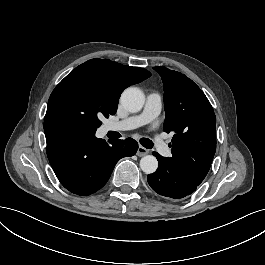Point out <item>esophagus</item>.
<instances>
[{
    "label": "esophagus",
    "instance_id": "obj_1",
    "mask_svg": "<svg viewBox=\"0 0 265 265\" xmlns=\"http://www.w3.org/2000/svg\"><path fill=\"white\" fill-rule=\"evenodd\" d=\"M149 153V150L147 148H144L143 146L139 145L138 149H137V156L142 157L145 156Z\"/></svg>",
    "mask_w": 265,
    "mask_h": 265
}]
</instances>
